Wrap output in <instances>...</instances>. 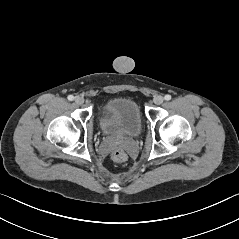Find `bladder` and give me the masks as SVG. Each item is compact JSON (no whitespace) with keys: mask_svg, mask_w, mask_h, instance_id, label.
<instances>
[{"mask_svg":"<svg viewBox=\"0 0 239 239\" xmlns=\"http://www.w3.org/2000/svg\"><path fill=\"white\" fill-rule=\"evenodd\" d=\"M100 126L106 136L137 137L142 129V117L138 104L126 97L109 99L101 109Z\"/></svg>","mask_w":239,"mask_h":239,"instance_id":"bladder-1","label":"bladder"}]
</instances>
